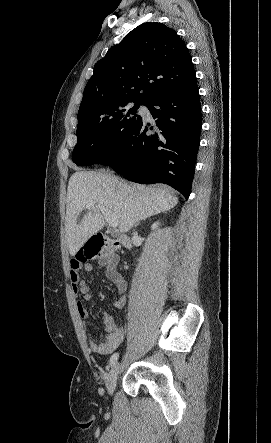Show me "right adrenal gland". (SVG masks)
<instances>
[{
    "mask_svg": "<svg viewBox=\"0 0 271 443\" xmlns=\"http://www.w3.org/2000/svg\"><path fill=\"white\" fill-rule=\"evenodd\" d=\"M140 222L134 223V227H136V225H139Z\"/></svg>",
    "mask_w": 271,
    "mask_h": 443,
    "instance_id": "1",
    "label": "right adrenal gland"
}]
</instances>
